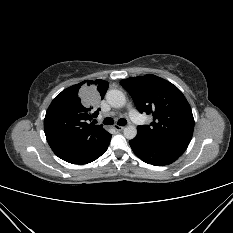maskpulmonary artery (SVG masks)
Listing matches in <instances>:
<instances>
[{
  "label": "pulmonary artery",
  "instance_id": "pulmonary-artery-1",
  "mask_svg": "<svg viewBox=\"0 0 233 233\" xmlns=\"http://www.w3.org/2000/svg\"><path fill=\"white\" fill-rule=\"evenodd\" d=\"M129 115L135 123H142V117L132 106H129Z\"/></svg>",
  "mask_w": 233,
  "mask_h": 233
}]
</instances>
